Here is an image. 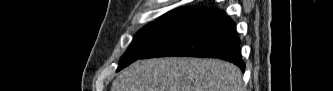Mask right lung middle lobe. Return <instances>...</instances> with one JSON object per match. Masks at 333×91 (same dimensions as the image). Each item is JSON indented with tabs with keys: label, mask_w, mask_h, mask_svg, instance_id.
I'll use <instances>...</instances> for the list:
<instances>
[{
	"label": "right lung middle lobe",
	"mask_w": 333,
	"mask_h": 91,
	"mask_svg": "<svg viewBox=\"0 0 333 91\" xmlns=\"http://www.w3.org/2000/svg\"><path fill=\"white\" fill-rule=\"evenodd\" d=\"M187 22L188 20L186 19L160 18L157 22L143 27L123 55L117 71L141 58L148 51L169 38Z\"/></svg>",
	"instance_id": "1"
}]
</instances>
